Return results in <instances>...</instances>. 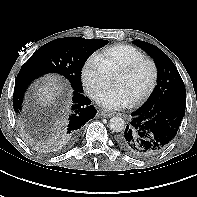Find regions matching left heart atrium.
<instances>
[{
    "label": "left heart atrium",
    "instance_id": "1",
    "mask_svg": "<svg viewBox=\"0 0 197 197\" xmlns=\"http://www.w3.org/2000/svg\"><path fill=\"white\" fill-rule=\"evenodd\" d=\"M98 102L108 109H122L130 105L132 99L124 89L115 86L103 91L98 96Z\"/></svg>",
    "mask_w": 197,
    "mask_h": 197
}]
</instances>
